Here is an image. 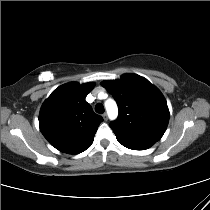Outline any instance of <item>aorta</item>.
<instances>
[{
	"label": "aorta",
	"mask_w": 210,
	"mask_h": 210,
	"mask_svg": "<svg viewBox=\"0 0 210 210\" xmlns=\"http://www.w3.org/2000/svg\"><path fill=\"white\" fill-rule=\"evenodd\" d=\"M105 107L108 113V116L111 120H115L118 116V107L116 102L113 99H108L105 102Z\"/></svg>",
	"instance_id": "1"
}]
</instances>
